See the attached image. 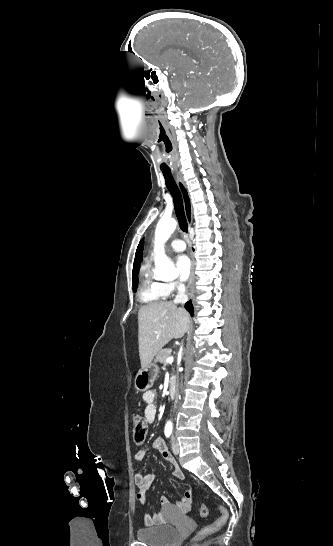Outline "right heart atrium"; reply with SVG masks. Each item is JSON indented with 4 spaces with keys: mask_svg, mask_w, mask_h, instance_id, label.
<instances>
[{
    "mask_svg": "<svg viewBox=\"0 0 333 546\" xmlns=\"http://www.w3.org/2000/svg\"><path fill=\"white\" fill-rule=\"evenodd\" d=\"M180 288H182V285L177 282L161 283V290L165 296H170L172 293Z\"/></svg>",
    "mask_w": 333,
    "mask_h": 546,
    "instance_id": "obj_1",
    "label": "right heart atrium"
}]
</instances>
